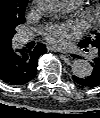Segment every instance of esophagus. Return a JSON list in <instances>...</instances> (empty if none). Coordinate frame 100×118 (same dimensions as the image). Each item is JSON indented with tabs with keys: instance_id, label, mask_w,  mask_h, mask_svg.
<instances>
[{
	"instance_id": "esophagus-1",
	"label": "esophagus",
	"mask_w": 100,
	"mask_h": 118,
	"mask_svg": "<svg viewBox=\"0 0 100 118\" xmlns=\"http://www.w3.org/2000/svg\"><path fill=\"white\" fill-rule=\"evenodd\" d=\"M48 50H52V51H55V52H61V53H66L65 51H63L62 49L60 48H57V47H54V46H48L47 47Z\"/></svg>"
}]
</instances>
